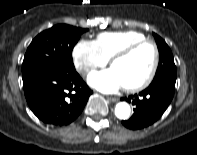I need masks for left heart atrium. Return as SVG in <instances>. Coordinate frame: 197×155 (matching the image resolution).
<instances>
[{
  "label": "left heart atrium",
  "instance_id": "1",
  "mask_svg": "<svg viewBox=\"0 0 197 155\" xmlns=\"http://www.w3.org/2000/svg\"><path fill=\"white\" fill-rule=\"evenodd\" d=\"M88 82L94 88L106 93L114 92L123 86L122 80L113 68L92 73Z\"/></svg>",
  "mask_w": 197,
  "mask_h": 155
}]
</instances>
